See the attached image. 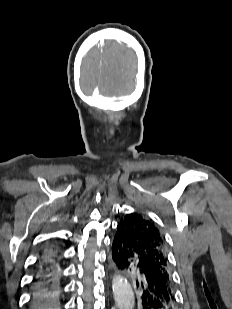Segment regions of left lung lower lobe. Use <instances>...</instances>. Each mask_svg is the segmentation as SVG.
I'll list each match as a JSON object with an SVG mask.
<instances>
[{"label":"left lung lower lobe","mask_w":232,"mask_h":309,"mask_svg":"<svg viewBox=\"0 0 232 309\" xmlns=\"http://www.w3.org/2000/svg\"><path fill=\"white\" fill-rule=\"evenodd\" d=\"M112 260L120 271L135 272L140 309H175L176 300L170 278L161 269L136 255L126 231L118 224L112 243Z\"/></svg>","instance_id":"left-lung-lower-lobe-1"}]
</instances>
